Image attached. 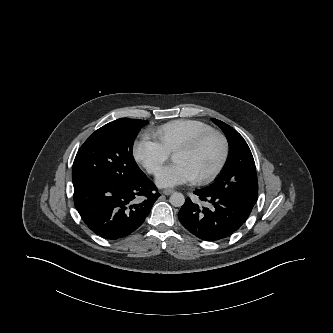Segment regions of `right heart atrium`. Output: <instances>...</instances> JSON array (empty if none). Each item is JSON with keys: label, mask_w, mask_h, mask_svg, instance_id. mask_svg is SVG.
I'll return each mask as SVG.
<instances>
[{"label": "right heart atrium", "mask_w": 333, "mask_h": 333, "mask_svg": "<svg viewBox=\"0 0 333 333\" xmlns=\"http://www.w3.org/2000/svg\"><path fill=\"white\" fill-rule=\"evenodd\" d=\"M133 157L137 163L151 175H158L165 162L169 158V153L149 136H142L133 145Z\"/></svg>", "instance_id": "1"}]
</instances>
